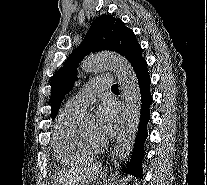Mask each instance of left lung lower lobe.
I'll list each match as a JSON object with an SVG mask.
<instances>
[{
    "label": "left lung lower lobe",
    "mask_w": 207,
    "mask_h": 185,
    "mask_svg": "<svg viewBox=\"0 0 207 185\" xmlns=\"http://www.w3.org/2000/svg\"><path fill=\"white\" fill-rule=\"evenodd\" d=\"M135 73L141 93V116L132 157L128 166L124 167V171L142 178L143 169L141 164L144 157V142L147 138V124L150 119L149 107L152 102L149 90L151 79L148 74L147 66L139 68Z\"/></svg>",
    "instance_id": "left-lung-lower-lobe-1"
}]
</instances>
